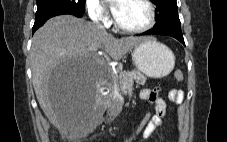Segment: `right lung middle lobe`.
I'll return each mask as SVG.
<instances>
[{"mask_svg": "<svg viewBox=\"0 0 227 142\" xmlns=\"http://www.w3.org/2000/svg\"><path fill=\"white\" fill-rule=\"evenodd\" d=\"M37 7L36 17L58 11L83 13L85 11V0H37Z\"/></svg>", "mask_w": 227, "mask_h": 142, "instance_id": "obj_1", "label": "right lung middle lobe"}]
</instances>
